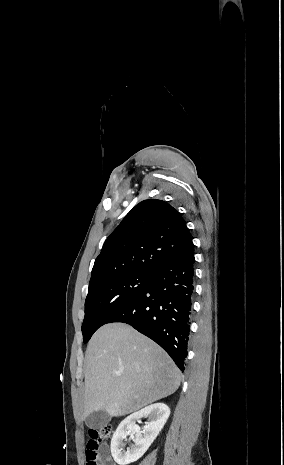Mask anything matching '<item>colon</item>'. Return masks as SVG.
Wrapping results in <instances>:
<instances>
[{
    "instance_id": "colon-1",
    "label": "colon",
    "mask_w": 284,
    "mask_h": 465,
    "mask_svg": "<svg viewBox=\"0 0 284 465\" xmlns=\"http://www.w3.org/2000/svg\"><path fill=\"white\" fill-rule=\"evenodd\" d=\"M113 431L110 426H91L85 437L84 447L86 452V465H96V455L92 452L97 450L101 444L112 437Z\"/></svg>"
}]
</instances>
